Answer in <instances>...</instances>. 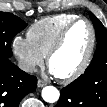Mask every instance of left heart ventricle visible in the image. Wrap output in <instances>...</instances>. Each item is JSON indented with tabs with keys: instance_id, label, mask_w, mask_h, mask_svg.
<instances>
[{
	"instance_id": "left-heart-ventricle-1",
	"label": "left heart ventricle",
	"mask_w": 107,
	"mask_h": 107,
	"mask_svg": "<svg viewBox=\"0 0 107 107\" xmlns=\"http://www.w3.org/2000/svg\"><path fill=\"white\" fill-rule=\"evenodd\" d=\"M90 44V30L79 22L69 31L62 48L53 56L51 69L57 76H67L82 64Z\"/></svg>"
}]
</instances>
